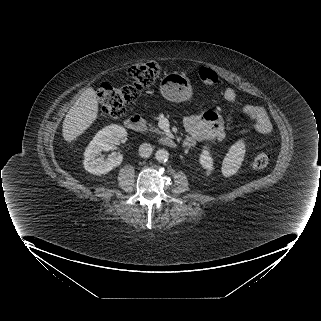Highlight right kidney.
<instances>
[{
    "instance_id": "1",
    "label": "right kidney",
    "mask_w": 321,
    "mask_h": 321,
    "mask_svg": "<svg viewBox=\"0 0 321 321\" xmlns=\"http://www.w3.org/2000/svg\"><path fill=\"white\" fill-rule=\"evenodd\" d=\"M126 130L118 125H109L94 136L84 152V168L86 171L102 175L111 171L114 167L121 164L123 156L113 152L107 158L98 157L101 151H109L114 147L119 139L125 137Z\"/></svg>"
}]
</instances>
